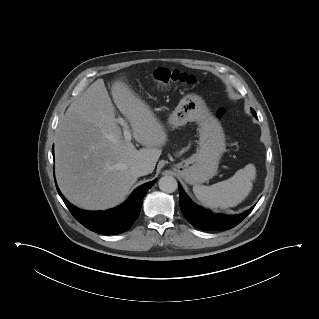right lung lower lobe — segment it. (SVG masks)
Here are the masks:
<instances>
[{
	"instance_id": "right-lung-lower-lobe-1",
	"label": "right lung lower lobe",
	"mask_w": 319,
	"mask_h": 319,
	"mask_svg": "<svg viewBox=\"0 0 319 319\" xmlns=\"http://www.w3.org/2000/svg\"><path fill=\"white\" fill-rule=\"evenodd\" d=\"M155 182L156 181H152L139 186L125 203L119 207L107 211L80 210L71 205L63 197L58 188L57 190L69 211L82 225L97 233L116 235L131 228L133 222L139 216L142 206V199Z\"/></svg>"
}]
</instances>
